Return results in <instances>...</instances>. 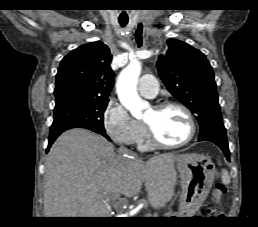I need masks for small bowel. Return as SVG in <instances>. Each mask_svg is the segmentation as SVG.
<instances>
[{
  "label": "small bowel",
  "instance_id": "1",
  "mask_svg": "<svg viewBox=\"0 0 258 227\" xmlns=\"http://www.w3.org/2000/svg\"><path fill=\"white\" fill-rule=\"evenodd\" d=\"M206 213H207V214H210V210L208 209V210L206 211Z\"/></svg>",
  "mask_w": 258,
  "mask_h": 227
}]
</instances>
